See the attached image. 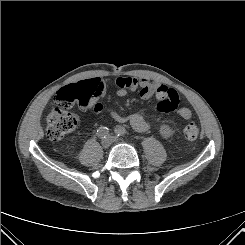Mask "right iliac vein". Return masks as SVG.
I'll use <instances>...</instances> for the list:
<instances>
[{"instance_id":"right-iliac-vein-1","label":"right iliac vein","mask_w":245,"mask_h":245,"mask_svg":"<svg viewBox=\"0 0 245 245\" xmlns=\"http://www.w3.org/2000/svg\"><path fill=\"white\" fill-rule=\"evenodd\" d=\"M101 144H102L103 148H105V149L108 148L110 146V144H111L110 138L109 137L103 138L102 141H101Z\"/></svg>"}]
</instances>
